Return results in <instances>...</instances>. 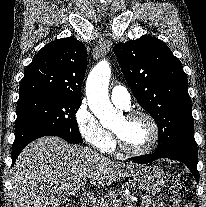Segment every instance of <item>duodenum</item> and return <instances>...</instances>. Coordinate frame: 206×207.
I'll return each mask as SVG.
<instances>
[{
    "mask_svg": "<svg viewBox=\"0 0 206 207\" xmlns=\"http://www.w3.org/2000/svg\"><path fill=\"white\" fill-rule=\"evenodd\" d=\"M76 207H84V206L80 203H76Z\"/></svg>",
    "mask_w": 206,
    "mask_h": 207,
    "instance_id": "duodenum-1",
    "label": "duodenum"
}]
</instances>
